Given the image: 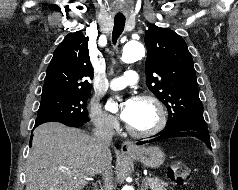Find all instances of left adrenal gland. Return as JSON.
Listing matches in <instances>:
<instances>
[{
  "label": "left adrenal gland",
  "instance_id": "left-adrenal-gland-1",
  "mask_svg": "<svg viewBox=\"0 0 238 190\" xmlns=\"http://www.w3.org/2000/svg\"><path fill=\"white\" fill-rule=\"evenodd\" d=\"M142 190H147V183L145 182V180H143L142 183Z\"/></svg>",
  "mask_w": 238,
  "mask_h": 190
}]
</instances>
